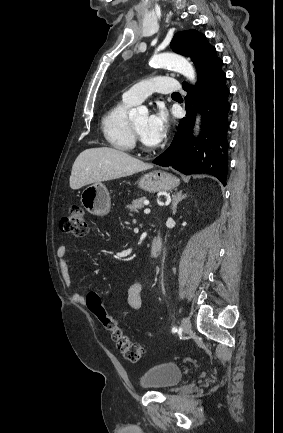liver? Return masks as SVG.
Masks as SVG:
<instances>
[{
  "mask_svg": "<svg viewBox=\"0 0 283 433\" xmlns=\"http://www.w3.org/2000/svg\"><path fill=\"white\" fill-rule=\"evenodd\" d=\"M152 168V164H146L139 158L130 156L123 150L100 146V148H86L78 154L71 170V188H81L91 182L111 180L135 174L141 170Z\"/></svg>",
  "mask_w": 283,
  "mask_h": 433,
  "instance_id": "1",
  "label": "liver"
}]
</instances>
